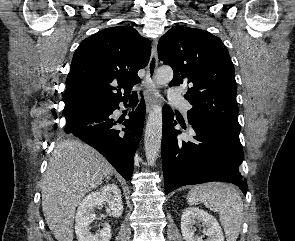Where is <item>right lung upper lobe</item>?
<instances>
[{
    "label": "right lung upper lobe",
    "mask_w": 295,
    "mask_h": 241,
    "mask_svg": "<svg viewBox=\"0 0 295 241\" xmlns=\"http://www.w3.org/2000/svg\"><path fill=\"white\" fill-rule=\"evenodd\" d=\"M150 53L149 40L131 26L106 28L84 39L66 79L65 115L129 98Z\"/></svg>",
    "instance_id": "right-lung-upper-lobe-1"
}]
</instances>
